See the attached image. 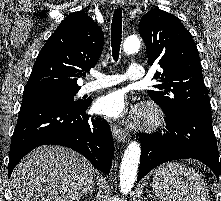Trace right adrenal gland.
I'll list each match as a JSON object with an SVG mask.
<instances>
[{
	"instance_id": "1",
	"label": "right adrenal gland",
	"mask_w": 221,
	"mask_h": 201,
	"mask_svg": "<svg viewBox=\"0 0 221 201\" xmlns=\"http://www.w3.org/2000/svg\"><path fill=\"white\" fill-rule=\"evenodd\" d=\"M88 192L91 196L93 195V185L89 188ZM84 195H87V192Z\"/></svg>"
}]
</instances>
